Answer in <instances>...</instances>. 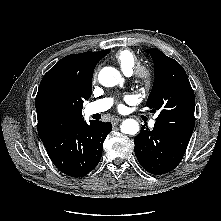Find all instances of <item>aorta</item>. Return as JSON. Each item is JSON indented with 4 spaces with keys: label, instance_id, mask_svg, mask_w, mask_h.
Masks as SVG:
<instances>
[{
    "label": "aorta",
    "instance_id": "762f6f07",
    "mask_svg": "<svg viewBox=\"0 0 221 221\" xmlns=\"http://www.w3.org/2000/svg\"><path fill=\"white\" fill-rule=\"evenodd\" d=\"M98 80L105 87H113L122 82V77L117 69L104 67L99 72ZM120 128L124 134L135 135L139 131V124L134 119H126L122 122Z\"/></svg>",
    "mask_w": 221,
    "mask_h": 221
}]
</instances>
